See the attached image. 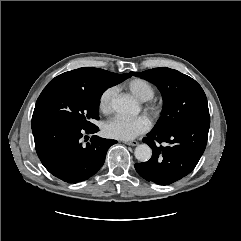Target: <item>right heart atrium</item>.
<instances>
[{
	"label": "right heart atrium",
	"mask_w": 241,
	"mask_h": 241,
	"mask_svg": "<svg viewBox=\"0 0 241 241\" xmlns=\"http://www.w3.org/2000/svg\"><path fill=\"white\" fill-rule=\"evenodd\" d=\"M116 93L115 87H108L105 89L98 100V107L102 113H109L111 110V102Z\"/></svg>",
	"instance_id": "d8ad5b80"
}]
</instances>
